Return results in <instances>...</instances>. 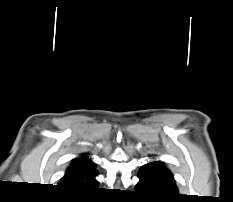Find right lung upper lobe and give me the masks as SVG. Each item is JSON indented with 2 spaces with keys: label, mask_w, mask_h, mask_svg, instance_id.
Instances as JSON below:
<instances>
[{
  "label": "right lung upper lobe",
  "mask_w": 233,
  "mask_h": 202,
  "mask_svg": "<svg viewBox=\"0 0 233 202\" xmlns=\"http://www.w3.org/2000/svg\"><path fill=\"white\" fill-rule=\"evenodd\" d=\"M95 165L87 154L74 158L60 181V187L73 192H87L97 187Z\"/></svg>",
  "instance_id": "cb5924a9"
}]
</instances>
